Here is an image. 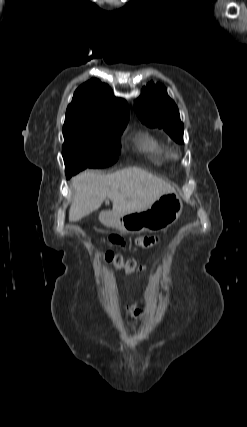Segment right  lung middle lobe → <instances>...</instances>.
<instances>
[{"label":"right lung middle lobe","mask_w":247,"mask_h":427,"mask_svg":"<svg viewBox=\"0 0 247 427\" xmlns=\"http://www.w3.org/2000/svg\"><path fill=\"white\" fill-rule=\"evenodd\" d=\"M125 127H103L77 119H65L62 155L67 178L86 167L102 168L115 163L120 154V136Z\"/></svg>","instance_id":"right-lung-middle-lobe-1"}]
</instances>
